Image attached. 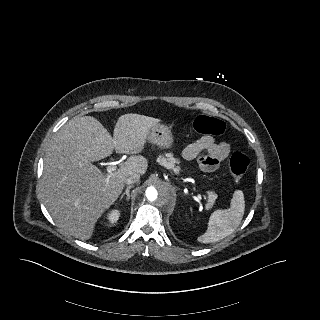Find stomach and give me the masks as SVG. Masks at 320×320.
<instances>
[{"mask_svg": "<svg viewBox=\"0 0 320 320\" xmlns=\"http://www.w3.org/2000/svg\"><path fill=\"white\" fill-rule=\"evenodd\" d=\"M147 140L162 149H169L173 146V136L168 126L157 123L153 125L147 134Z\"/></svg>", "mask_w": 320, "mask_h": 320, "instance_id": "1", "label": "stomach"}]
</instances>
